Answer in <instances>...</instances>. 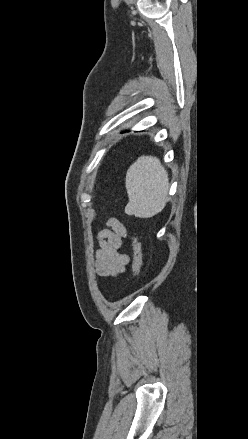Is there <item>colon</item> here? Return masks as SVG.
<instances>
[{"label": "colon", "mask_w": 248, "mask_h": 439, "mask_svg": "<svg viewBox=\"0 0 248 439\" xmlns=\"http://www.w3.org/2000/svg\"><path fill=\"white\" fill-rule=\"evenodd\" d=\"M132 248H133V275L134 277H137L142 267V258H143V251H142L139 235L134 236L132 240Z\"/></svg>", "instance_id": "5ec220e1"}]
</instances>
